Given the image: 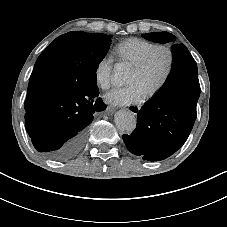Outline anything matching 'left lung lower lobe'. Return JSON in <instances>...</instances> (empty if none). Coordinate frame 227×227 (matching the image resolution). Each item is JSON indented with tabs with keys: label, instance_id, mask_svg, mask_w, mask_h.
Wrapping results in <instances>:
<instances>
[{
	"label": "left lung lower lobe",
	"instance_id": "left-lung-lower-lobe-1",
	"mask_svg": "<svg viewBox=\"0 0 227 227\" xmlns=\"http://www.w3.org/2000/svg\"><path fill=\"white\" fill-rule=\"evenodd\" d=\"M171 72L158 93L137 114L136 129L122 138L127 149L144 160L160 161L187 140L200 96L197 65L186 46L172 51Z\"/></svg>",
	"mask_w": 227,
	"mask_h": 227
}]
</instances>
